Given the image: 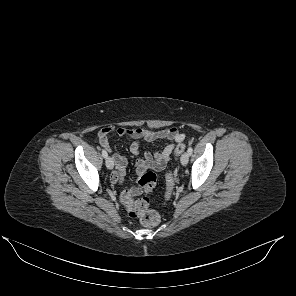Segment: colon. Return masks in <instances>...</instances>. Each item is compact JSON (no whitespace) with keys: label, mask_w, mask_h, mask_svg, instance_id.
Listing matches in <instances>:
<instances>
[{"label":"colon","mask_w":296,"mask_h":296,"mask_svg":"<svg viewBox=\"0 0 296 296\" xmlns=\"http://www.w3.org/2000/svg\"><path fill=\"white\" fill-rule=\"evenodd\" d=\"M186 149L184 143H179L175 148V155L179 156ZM156 174L152 170L145 171L138 179V187L147 193L153 192L156 186ZM167 180V198L171 195L173 187V176L168 173ZM122 203L128 209V213L133 218H138L140 223L145 227H155L160 223V215L153 210L149 209V200L147 198H141L138 200L133 199L131 194L126 191L121 196Z\"/></svg>","instance_id":"colon-1"}]
</instances>
